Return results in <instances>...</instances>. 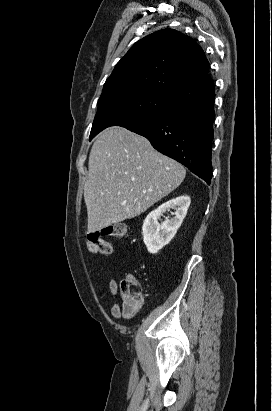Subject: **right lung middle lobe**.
<instances>
[{"mask_svg":"<svg viewBox=\"0 0 272 411\" xmlns=\"http://www.w3.org/2000/svg\"><path fill=\"white\" fill-rule=\"evenodd\" d=\"M177 105L179 104L176 100L149 89L102 93L98 100V112L92 125L90 140L109 126L127 128L163 114Z\"/></svg>","mask_w":272,"mask_h":411,"instance_id":"right-lung-middle-lobe-1","label":"right lung middle lobe"}]
</instances>
